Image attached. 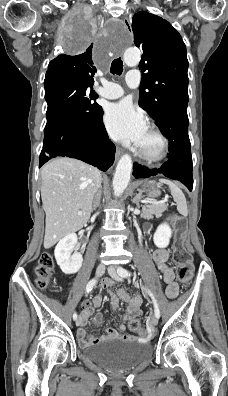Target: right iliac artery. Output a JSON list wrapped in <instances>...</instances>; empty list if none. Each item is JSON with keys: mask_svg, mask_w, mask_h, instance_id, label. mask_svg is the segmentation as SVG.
<instances>
[{"mask_svg": "<svg viewBox=\"0 0 228 396\" xmlns=\"http://www.w3.org/2000/svg\"><path fill=\"white\" fill-rule=\"evenodd\" d=\"M96 283H97V279H91L89 282H88V284H87V286H86V292L88 293V292H90L92 289H93V287L96 285ZM73 319L74 320H76L77 319V313L76 312H74V314H73Z\"/></svg>", "mask_w": 228, "mask_h": 396, "instance_id": "1", "label": "right iliac artery"}]
</instances>
